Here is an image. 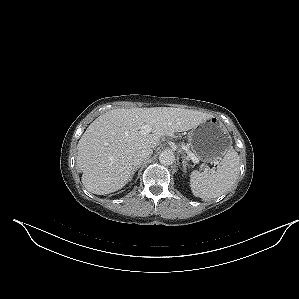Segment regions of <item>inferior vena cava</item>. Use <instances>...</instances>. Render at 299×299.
<instances>
[{"label":"inferior vena cava","instance_id":"inferior-vena-cava-1","mask_svg":"<svg viewBox=\"0 0 299 299\" xmlns=\"http://www.w3.org/2000/svg\"><path fill=\"white\" fill-rule=\"evenodd\" d=\"M153 153L152 149H143L137 151L132 159V165L134 167H137L140 165V163L147 157H149Z\"/></svg>","mask_w":299,"mask_h":299}]
</instances>
